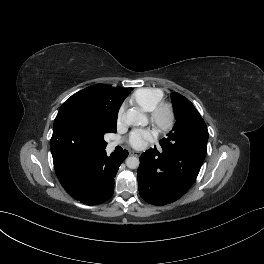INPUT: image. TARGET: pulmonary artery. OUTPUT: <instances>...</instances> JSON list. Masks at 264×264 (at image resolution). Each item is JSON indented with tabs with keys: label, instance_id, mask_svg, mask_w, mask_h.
<instances>
[{
	"label": "pulmonary artery",
	"instance_id": "pulmonary-artery-1",
	"mask_svg": "<svg viewBox=\"0 0 264 264\" xmlns=\"http://www.w3.org/2000/svg\"><path fill=\"white\" fill-rule=\"evenodd\" d=\"M117 145H118V142H111L110 145H109V147H110V148H114V147H116Z\"/></svg>",
	"mask_w": 264,
	"mask_h": 264
}]
</instances>
